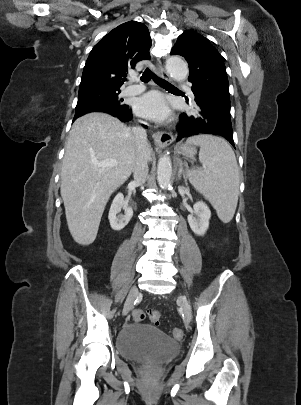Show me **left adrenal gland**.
<instances>
[{
	"label": "left adrenal gland",
	"instance_id": "1",
	"mask_svg": "<svg viewBox=\"0 0 301 405\" xmlns=\"http://www.w3.org/2000/svg\"><path fill=\"white\" fill-rule=\"evenodd\" d=\"M182 176L183 179L186 181V173L185 170L183 169V163L182 161H179L178 179H181Z\"/></svg>",
	"mask_w": 301,
	"mask_h": 405
}]
</instances>
